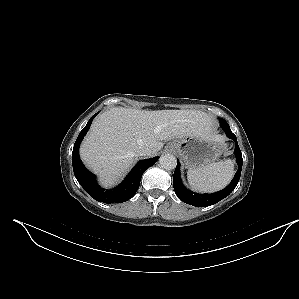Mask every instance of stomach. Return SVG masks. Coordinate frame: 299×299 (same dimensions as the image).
Instances as JSON below:
<instances>
[{"label": "stomach", "instance_id": "obj_1", "mask_svg": "<svg viewBox=\"0 0 299 299\" xmlns=\"http://www.w3.org/2000/svg\"><path fill=\"white\" fill-rule=\"evenodd\" d=\"M225 147L223 137L212 132L201 136L180 137L169 144V149L178 153L189 169L214 163Z\"/></svg>", "mask_w": 299, "mask_h": 299}]
</instances>
